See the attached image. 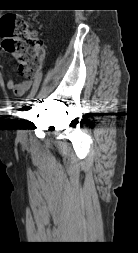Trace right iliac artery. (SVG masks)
Masks as SVG:
<instances>
[{"instance_id": "obj_1", "label": "right iliac artery", "mask_w": 138, "mask_h": 253, "mask_svg": "<svg viewBox=\"0 0 138 253\" xmlns=\"http://www.w3.org/2000/svg\"><path fill=\"white\" fill-rule=\"evenodd\" d=\"M42 80H43V74L38 73L37 76L35 77V82L33 84L30 94L28 95V97L25 98L26 104H28L30 102L31 96H34V94L36 93V91L38 89L40 81H42Z\"/></svg>"}]
</instances>
